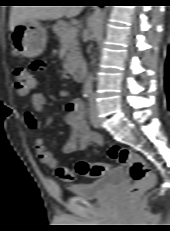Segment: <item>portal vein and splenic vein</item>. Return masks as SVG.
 <instances>
[{
	"label": "portal vein and splenic vein",
	"mask_w": 170,
	"mask_h": 231,
	"mask_svg": "<svg viewBox=\"0 0 170 231\" xmlns=\"http://www.w3.org/2000/svg\"><path fill=\"white\" fill-rule=\"evenodd\" d=\"M78 32L77 27H71L69 30L66 31L64 38L67 40L68 38L76 35Z\"/></svg>",
	"instance_id": "obj_1"
}]
</instances>
